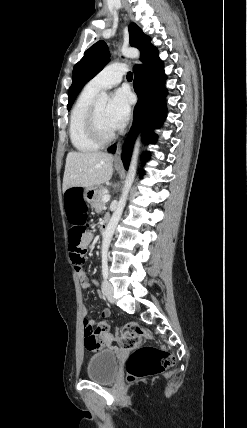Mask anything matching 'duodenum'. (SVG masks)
<instances>
[{
	"label": "duodenum",
	"mask_w": 247,
	"mask_h": 428,
	"mask_svg": "<svg viewBox=\"0 0 247 428\" xmlns=\"http://www.w3.org/2000/svg\"><path fill=\"white\" fill-rule=\"evenodd\" d=\"M108 223H109V220H108V219H104V220H103V222H102V224H101V232H102V233H105V231L107 230Z\"/></svg>",
	"instance_id": "duodenum-1"
}]
</instances>
